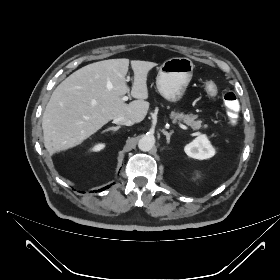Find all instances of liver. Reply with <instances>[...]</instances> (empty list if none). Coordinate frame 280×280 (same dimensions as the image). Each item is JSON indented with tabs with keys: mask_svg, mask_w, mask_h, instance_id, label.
<instances>
[{
	"mask_svg": "<svg viewBox=\"0 0 280 280\" xmlns=\"http://www.w3.org/2000/svg\"><path fill=\"white\" fill-rule=\"evenodd\" d=\"M129 59H109L86 65L61 82L43 114L46 149L51 153L81 144L114 118L140 123L149 110L147 75L157 64L132 60L134 81L129 104L120 99L129 91L125 76Z\"/></svg>",
	"mask_w": 280,
	"mask_h": 280,
	"instance_id": "liver-1",
	"label": "liver"
}]
</instances>
